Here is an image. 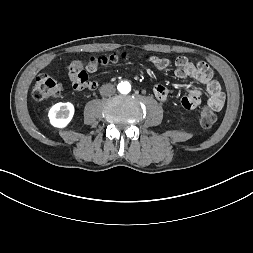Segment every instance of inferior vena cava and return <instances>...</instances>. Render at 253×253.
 Here are the masks:
<instances>
[{
	"label": "inferior vena cava",
	"instance_id": "obj_1",
	"mask_svg": "<svg viewBox=\"0 0 253 253\" xmlns=\"http://www.w3.org/2000/svg\"><path fill=\"white\" fill-rule=\"evenodd\" d=\"M116 89L115 86L112 84H104L101 88H100V94L101 96H111L115 93Z\"/></svg>",
	"mask_w": 253,
	"mask_h": 253
}]
</instances>
